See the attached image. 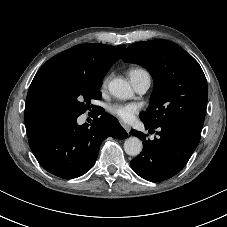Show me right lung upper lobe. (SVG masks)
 I'll list each match as a JSON object with an SVG mask.
<instances>
[{
    "label": "right lung upper lobe",
    "mask_w": 227,
    "mask_h": 227,
    "mask_svg": "<svg viewBox=\"0 0 227 227\" xmlns=\"http://www.w3.org/2000/svg\"><path fill=\"white\" fill-rule=\"evenodd\" d=\"M124 49L125 45H76L44 63L36 73L26 98L25 125L28 137L58 119L49 97L50 86L56 76H105L120 59Z\"/></svg>",
    "instance_id": "obj_1"
}]
</instances>
